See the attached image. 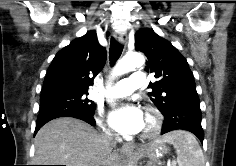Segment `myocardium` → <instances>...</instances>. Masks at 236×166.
I'll list each match as a JSON object with an SVG mask.
<instances>
[{"label":"myocardium","instance_id":"obj_1","mask_svg":"<svg viewBox=\"0 0 236 166\" xmlns=\"http://www.w3.org/2000/svg\"><path fill=\"white\" fill-rule=\"evenodd\" d=\"M146 117L149 121V126L143 131L141 137L144 139H151L160 132L162 115L156 108L148 106L146 108Z\"/></svg>","mask_w":236,"mask_h":166}]
</instances>
